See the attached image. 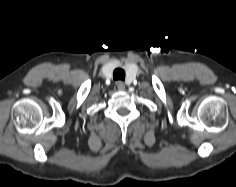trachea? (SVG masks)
Listing matches in <instances>:
<instances>
[{
	"instance_id": "3493384b",
	"label": "trachea",
	"mask_w": 236,
	"mask_h": 187,
	"mask_svg": "<svg viewBox=\"0 0 236 187\" xmlns=\"http://www.w3.org/2000/svg\"><path fill=\"white\" fill-rule=\"evenodd\" d=\"M114 80H124L125 79V71L121 68H117L113 72Z\"/></svg>"
}]
</instances>
